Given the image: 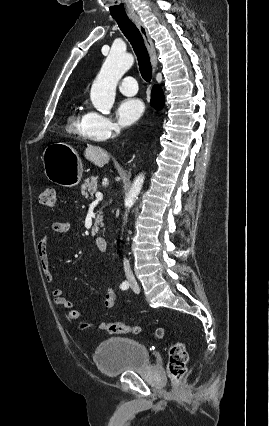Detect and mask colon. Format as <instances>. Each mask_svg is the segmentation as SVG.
I'll list each match as a JSON object with an SVG mask.
<instances>
[{"instance_id":"1","label":"colon","mask_w":269,"mask_h":426,"mask_svg":"<svg viewBox=\"0 0 269 426\" xmlns=\"http://www.w3.org/2000/svg\"><path fill=\"white\" fill-rule=\"evenodd\" d=\"M40 202L47 207H54L56 205V193L54 188L47 187L42 190L40 194ZM71 317L73 320L79 321L80 329H87L92 326L90 323L80 321L79 313L77 311H73L71 313ZM97 328L110 334H138L140 332V327L128 325L123 322H101L97 325ZM165 335L166 330L164 328L160 327L156 330V336L158 338H164ZM187 362L188 354L183 343L179 341L172 342L168 350L167 365L170 384L172 387H176L180 379L186 373Z\"/></svg>"}]
</instances>
